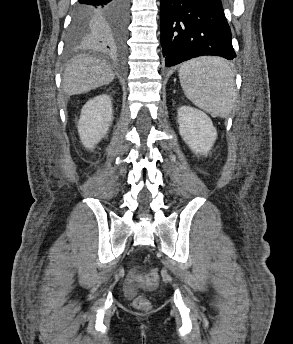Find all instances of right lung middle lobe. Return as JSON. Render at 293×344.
I'll return each instance as SVG.
<instances>
[{
    "instance_id": "1",
    "label": "right lung middle lobe",
    "mask_w": 293,
    "mask_h": 344,
    "mask_svg": "<svg viewBox=\"0 0 293 344\" xmlns=\"http://www.w3.org/2000/svg\"><path fill=\"white\" fill-rule=\"evenodd\" d=\"M91 18L83 12L74 11L72 24L68 33L67 44L70 48L89 45L91 35L89 27Z\"/></svg>"
}]
</instances>
